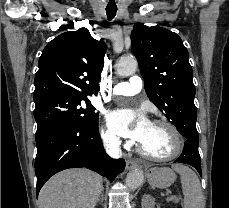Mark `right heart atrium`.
<instances>
[{"instance_id":"d8ad5b80","label":"right heart atrium","mask_w":229,"mask_h":208,"mask_svg":"<svg viewBox=\"0 0 229 208\" xmlns=\"http://www.w3.org/2000/svg\"><path fill=\"white\" fill-rule=\"evenodd\" d=\"M101 138L105 146L109 148H116L121 145L119 137L108 129H102ZM128 146V144H126Z\"/></svg>"}]
</instances>
